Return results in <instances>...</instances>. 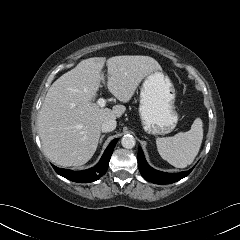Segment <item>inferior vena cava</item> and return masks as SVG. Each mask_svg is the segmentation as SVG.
I'll return each instance as SVG.
<instances>
[{"instance_id":"obj_1","label":"inferior vena cava","mask_w":240,"mask_h":240,"mask_svg":"<svg viewBox=\"0 0 240 240\" xmlns=\"http://www.w3.org/2000/svg\"><path fill=\"white\" fill-rule=\"evenodd\" d=\"M116 124L115 119H107L101 124V130L102 132H111L116 128Z\"/></svg>"}]
</instances>
